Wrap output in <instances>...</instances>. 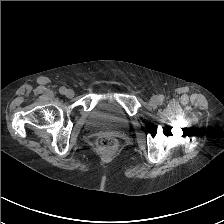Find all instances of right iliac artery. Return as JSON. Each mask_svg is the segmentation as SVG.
I'll list each match as a JSON object with an SVG mask.
<instances>
[{
	"mask_svg": "<svg viewBox=\"0 0 224 224\" xmlns=\"http://www.w3.org/2000/svg\"><path fill=\"white\" fill-rule=\"evenodd\" d=\"M66 88L65 87H61L60 89H59V92L61 93V94H65L66 93Z\"/></svg>",
	"mask_w": 224,
	"mask_h": 224,
	"instance_id": "right-iliac-artery-1",
	"label": "right iliac artery"
}]
</instances>
